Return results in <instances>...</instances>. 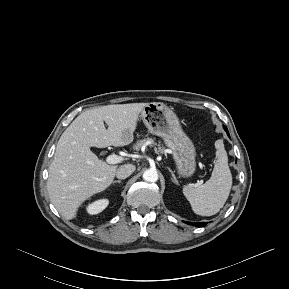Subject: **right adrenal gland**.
Returning <instances> with one entry per match:
<instances>
[{"label": "right adrenal gland", "mask_w": 289, "mask_h": 289, "mask_svg": "<svg viewBox=\"0 0 289 289\" xmlns=\"http://www.w3.org/2000/svg\"><path fill=\"white\" fill-rule=\"evenodd\" d=\"M115 183H121V180H115V181H113V184H115Z\"/></svg>", "instance_id": "obj_1"}]
</instances>
